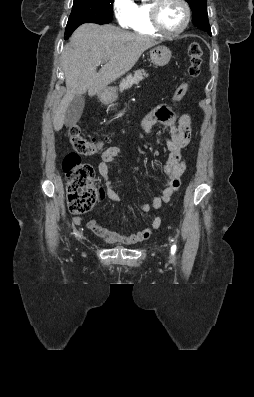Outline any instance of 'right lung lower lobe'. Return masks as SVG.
<instances>
[{"label":"right lung lower lobe","mask_w":254,"mask_h":397,"mask_svg":"<svg viewBox=\"0 0 254 397\" xmlns=\"http://www.w3.org/2000/svg\"><path fill=\"white\" fill-rule=\"evenodd\" d=\"M80 25L81 24H75V25H71V26L66 27V32H65L66 36L64 37V39L65 40L68 39L70 37V35L73 33V31Z\"/></svg>","instance_id":"1"}]
</instances>
